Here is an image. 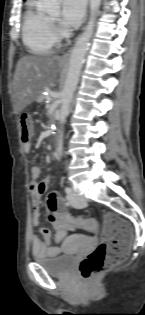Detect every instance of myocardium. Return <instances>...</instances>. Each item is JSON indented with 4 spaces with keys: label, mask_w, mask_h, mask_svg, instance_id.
I'll list each match as a JSON object with an SVG mask.
<instances>
[{
    "label": "myocardium",
    "mask_w": 145,
    "mask_h": 315,
    "mask_svg": "<svg viewBox=\"0 0 145 315\" xmlns=\"http://www.w3.org/2000/svg\"><path fill=\"white\" fill-rule=\"evenodd\" d=\"M48 21H49V24L51 26L52 33H53V35L57 41H59L63 37H65V33L62 30V28L60 27V25L58 24V22L53 21L50 17H48Z\"/></svg>",
    "instance_id": "obj_1"
}]
</instances>
